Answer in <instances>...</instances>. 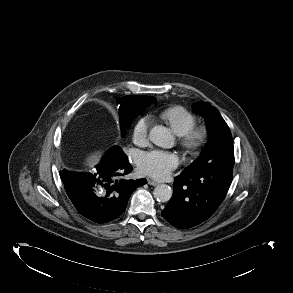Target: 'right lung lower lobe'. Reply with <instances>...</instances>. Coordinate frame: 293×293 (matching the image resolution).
<instances>
[{
	"mask_svg": "<svg viewBox=\"0 0 293 293\" xmlns=\"http://www.w3.org/2000/svg\"><path fill=\"white\" fill-rule=\"evenodd\" d=\"M127 156L116 146L110 149L93 172L60 171L66 193L77 211L96 223L119 217L126 209L132 192L146 179L119 178L132 171Z\"/></svg>",
	"mask_w": 293,
	"mask_h": 293,
	"instance_id": "obj_1",
	"label": "right lung lower lobe"
}]
</instances>
